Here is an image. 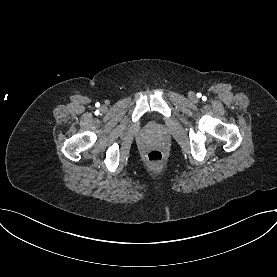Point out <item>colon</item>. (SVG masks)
Returning <instances> with one entry per match:
<instances>
[{"label": "colon", "instance_id": "obj_1", "mask_svg": "<svg viewBox=\"0 0 277 277\" xmlns=\"http://www.w3.org/2000/svg\"><path fill=\"white\" fill-rule=\"evenodd\" d=\"M147 160L152 164H159L163 160V153L160 150H151L146 155Z\"/></svg>", "mask_w": 277, "mask_h": 277}]
</instances>
